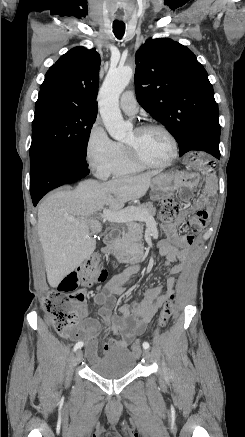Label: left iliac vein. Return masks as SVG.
<instances>
[{
  "mask_svg": "<svg viewBox=\"0 0 245 437\" xmlns=\"http://www.w3.org/2000/svg\"><path fill=\"white\" fill-rule=\"evenodd\" d=\"M143 357L145 360H149L150 359V353L147 349H144L143 351Z\"/></svg>",
  "mask_w": 245,
  "mask_h": 437,
  "instance_id": "obj_1",
  "label": "left iliac vein"
}]
</instances>
